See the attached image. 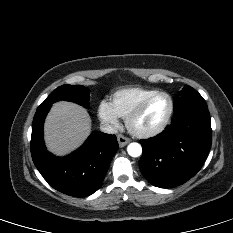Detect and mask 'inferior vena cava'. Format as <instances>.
<instances>
[{
  "instance_id": "inferior-vena-cava-1",
  "label": "inferior vena cava",
  "mask_w": 233,
  "mask_h": 233,
  "mask_svg": "<svg viewBox=\"0 0 233 233\" xmlns=\"http://www.w3.org/2000/svg\"><path fill=\"white\" fill-rule=\"evenodd\" d=\"M100 130L104 133L108 134H117L118 133V128L116 126L110 125L107 122H102L100 124Z\"/></svg>"
}]
</instances>
